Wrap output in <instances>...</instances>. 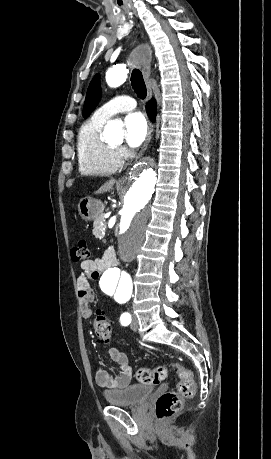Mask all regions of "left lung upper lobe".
<instances>
[{
  "label": "left lung upper lobe",
  "mask_w": 271,
  "mask_h": 459,
  "mask_svg": "<svg viewBox=\"0 0 271 459\" xmlns=\"http://www.w3.org/2000/svg\"><path fill=\"white\" fill-rule=\"evenodd\" d=\"M101 99V87L99 81V75H96L87 90L84 108H83V117L86 118L97 106Z\"/></svg>",
  "instance_id": "5c2ea615"
}]
</instances>
